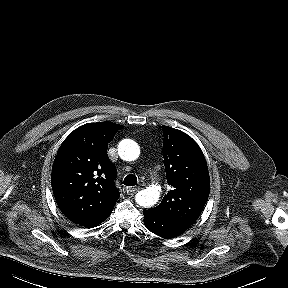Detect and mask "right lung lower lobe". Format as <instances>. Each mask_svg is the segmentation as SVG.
<instances>
[{
  "label": "right lung lower lobe",
  "instance_id": "1",
  "mask_svg": "<svg viewBox=\"0 0 288 288\" xmlns=\"http://www.w3.org/2000/svg\"><path fill=\"white\" fill-rule=\"evenodd\" d=\"M112 211H110L109 213H107L105 216L97 219V220H94V221H91V222H88L86 224H83L82 226L86 227V228H92L94 226H97L99 225L101 222H103L110 214H111Z\"/></svg>",
  "mask_w": 288,
  "mask_h": 288
}]
</instances>
